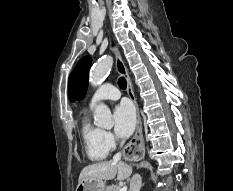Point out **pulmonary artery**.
Returning a JSON list of instances; mask_svg holds the SVG:
<instances>
[{
	"label": "pulmonary artery",
	"instance_id": "obj_1",
	"mask_svg": "<svg viewBox=\"0 0 233 191\" xmlns=\"http://www.w3.org/2000/svg\"><path fill=\"white\" fill-rule=\"evenodd\" d=\"M119 97V90L114 85L105 83L92 95L89 106L93 108L101 101L117 100Z\"/></svg>",
	"mask_w": 233,
	"mask_h": 191
}]
</instances>
